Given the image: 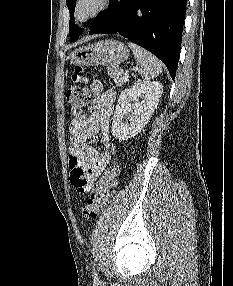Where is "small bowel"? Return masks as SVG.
<instances>
[{
    "mask_svg": "<svg viewBox=\"0 0 233 286\" xmlns=\"http://www.w3.org/2000/svg\"><path fill=\"white\" fill-rule=\"evenodd\" d=\"M93 95L89 112L75 116L70 123L68 164L70 183L78 193L89 192L110 162V119L115 93L104 90L100 81L90 86ZM102 144V149L97 147Z\"/></svg>",
    "mask_w": 233,
    "mask_h": 286,
    "instance_id": "small-bowel-1",
    "label": "small bowel"
}]
</instances>
